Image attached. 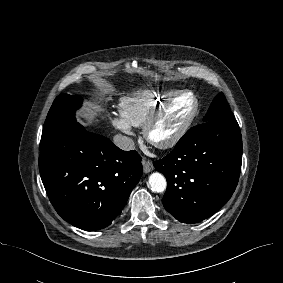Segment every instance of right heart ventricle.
I'll list each match as a JSON object with an SVG mask.
<instances>
[{
	"mask_svg": "<svg viewBox=\"0 0 283 283\" xmlns=\"http://www.w3.org/2000/svg\"><path fill=\"white\" fill-rule=\"evenodd\" d=\"M172 93V90L154 87L139 90L122 99L121 115L131 126H143L152 111Z\"/></svg>",
	"mask_w": 283,
	"mask_h": 283,
	"instance_id": "e07e8e85",
	"label": "right heart ventricle"
}]
</instances>
